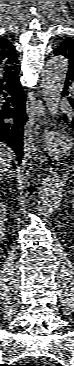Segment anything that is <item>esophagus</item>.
Listing matches in <instances>:
<instances>
[{
  "label": "esophagus",
  "mask_w": 74,
  "mask_h": 366,
  "mask_svg": "<svg viewBox=\"0 0 74 366\" xmlns=\"http://www.w3.org/2000/svg\"><path fill=\"white\" fill-rule=\"evenodd\" d=\"M26 112L28 114L29 120L31 124L38 128L39 124L45 123V108L43 105V102L38 99L34 102L28 101L26 106ZM36 135H38L37 130L35 131ZM44 135L47 136L48 132L47 130H44Z\"/></svg>",
  "instance_id": "34e87169"
}]
</instances>
